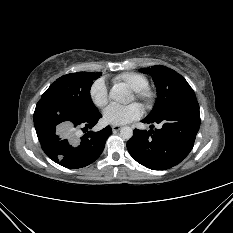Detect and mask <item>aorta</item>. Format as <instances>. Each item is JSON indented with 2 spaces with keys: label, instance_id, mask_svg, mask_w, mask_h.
<instances>
[{
  "label": "aorta",
  "instance_id": "aorta-1",
  "mask_svg": "<svg viewBox=\"0 0 233 233\" xmlns=\"http://www.w3.org/2000/svg\"><path fill=\"white\" fill-rule=\"evenodd\" d=\"M109 97H110V99H112L114 101L124 103V104L129 103L131 100L129 91L127 90L125 85L122 83L115 84L111 88V90L109 92ZM120 136L123 139H130L133 136L132 128L128 127V126L122 127L120 130Z\"/></svg>",
  "mask_w": 233,
  "mask_h": 233
}]
</instances>
